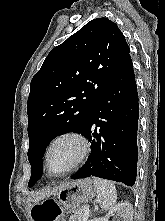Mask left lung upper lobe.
<instances>
[{
  "mask_svg": "<svg viewBox=\"0 0 165 221\" xmlns=\"http://www.w3.org/2000/svg\"><path fill=\"white\" fill-rule=\"evenodd\" d=\"M129 52L118 26L96 18L48 54L32 78L27 102L28 187L42 175L48 143L69 131L80 133L101 94L130 58Z\"/></svg>",
  "mask_w": 165,
  "mask_h": 221,
  "instance_id": "obj_1",
  "label": "left lung upper lobe"
}]
</instances>
